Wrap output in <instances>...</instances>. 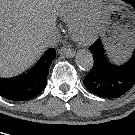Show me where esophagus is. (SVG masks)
Here are the masks:
<instances>
[{
	"instance_id": "34e87169",
	"label": "esophagus",
	"mask_w": 135,
	"mask_h": 135,
	"mask_svg": "<svg viewBox=\"0 0 135 135\" xmlns=\"http://www.w3.org/2000/svg\"><path fill=\"white\" fill-rule=\"evenodd\" d=\"M59 53L67 58H72L75 55V51L68 46L61 47Z\"/></svg>"
}]
</instances>
